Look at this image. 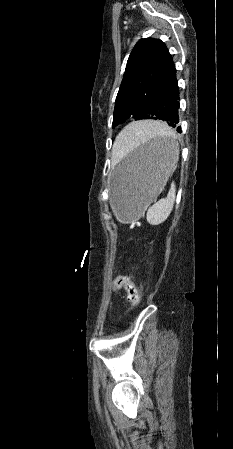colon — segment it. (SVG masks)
I'll list each match as a JSON object with an SVG mask.
<instances>
[{
    "mask_svg": "<svg viewBox=\"0 0 233 449\" xmlns=\"http://www.w3.org/2000/svg\"><path fill=\"white\" fill-rule=\"evenodd\" d=\"M112 288L114 291L119 292L123 288L127 294V300L132 308L138 306L140 302L139 290L130 275H121L114 277L112 280Z\"/></svg>",
    "mask_w": 233,
    "mask_h": 449,
    "instance_id": "5ec220e1",
    "label": "colon"
}]
</instances>
